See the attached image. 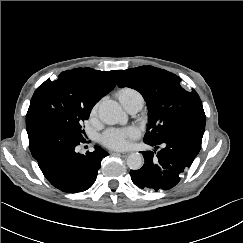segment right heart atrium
Returning <instances> with one entry per match:
<instances>
[{
    "label": "right heart atrium",
    "mask_w": 243,
    "mask_h": 243,
    "mask_svg": "<svg viewBox=\"0 0 243 243\" xmlns=\"http://www.w3.org/2000/svg\"><path fill=\"white\" fill-rule=\"evenodd\" d=\"M97 110H98V103L95 104L91 110V115L94 116L97 114Z\"/></svg>",
    "instance_id": "obj_1"
}]
</instances>
